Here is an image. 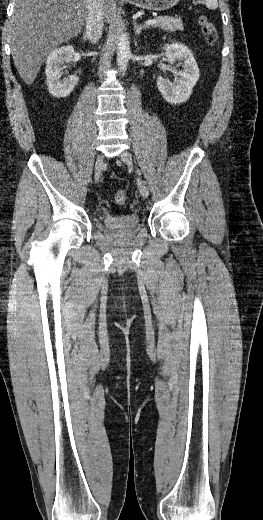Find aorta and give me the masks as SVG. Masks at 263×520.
<instances>
[{"label":"aorta","instance_id":"762f6f07","mask_svg":"<svg viewBox=\"0 0 263 520\" xmlns=\"http://www.w3.org/2000/svg\"><path fill=\"white\" fill-rule=\"evenodd\" d=\"M131 57L130 42L126 34L121 33L117 37V65L121 72H125Z\"/></svg>","mask_w":263,"mask_h":520}]
</instances>
